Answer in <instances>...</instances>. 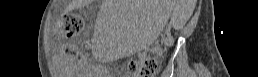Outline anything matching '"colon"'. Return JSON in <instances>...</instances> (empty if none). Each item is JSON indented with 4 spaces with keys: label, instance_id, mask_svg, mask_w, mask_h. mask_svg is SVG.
<instances>
[{
    "label": "colon",
    "instance_id": "1",
    "mask_svg": "<svg viewBox=\"0 0 258 77\" xmlns=\"http://www.w3.org/2000/svg\"><path fill=\"white\" fill-rule=\"evenodd\" d=\"M83 29V21L79 15L66 14L59 23L57 33L63 37H75ZM158 63L155 58L145 57L131 61L129 72L134 77H152L156 73Z\"/></svg>",
    "mask_w": 258,
    "mask_h": 77
}]
</instances>
